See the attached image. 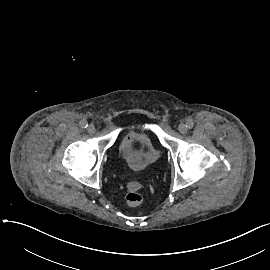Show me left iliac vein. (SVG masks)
Here are the masks:
<instances>
[{
    "mask_svg": "<svg viewBox=\"0 0 270 270\" xmlns=\"http://www.w3.org/2000/svg\"><path fill=\"white\" fill-rule=\"evenodd\" d=\"M178 130L181 134H185L188 130L186 124L184 123H180L179 126H178Z\"/></svg>",
    "mask_w": 270,
    "mask_h": 270,
    "instance_id": "obj_1",
    "label": "left iliac vein"
}]
</instances>
